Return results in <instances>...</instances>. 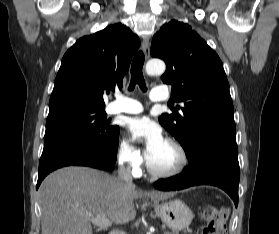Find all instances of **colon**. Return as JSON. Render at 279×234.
<instances>
[{"instance_id":"obj_1","label":"colon","mask_w":279,"mask_h":234,"mask_svg":"<svg viewBox=\"0 0 279 234\" xmlns=\"http://www.w3.org/2000/svg\"><path fill=\"white\" fill-rule=\"evenodd\" d=\"M228 209L224 205L211 206L205 209L206 225L203 234H225Z\"/></svg>"}]
</instances>
